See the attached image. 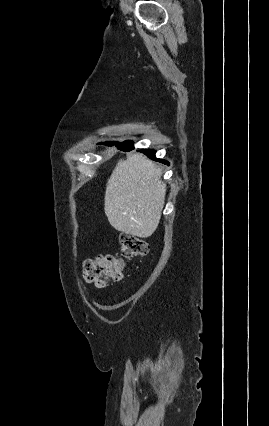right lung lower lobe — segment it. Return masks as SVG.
I'll list each match as a JSON object with an SVG mask.
<instances>
[{"label":"right lung lower lobe","instance_id":"obj_1","mask_svg":"<svg viewBox=\"0 0 269 426\" xmlns=\"http://www.w3.org/2000/svg\"><path fill=\"white\" fill-rule=\"evenodd\" d=\"M113 144H115L121 150L129 151V150L133 149V143L130 142V141H124L122 143H109V145H113ZM141 152L144 153L145 155H147L148 157L156 160V161H159V162H162V163H167L164 160L156 159L155 158V150H153V149H142Z\"/></svg>","mask_w":269,"mask_h":426}]
</instances>
